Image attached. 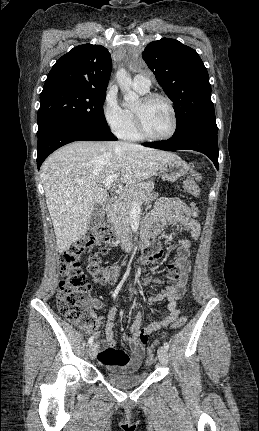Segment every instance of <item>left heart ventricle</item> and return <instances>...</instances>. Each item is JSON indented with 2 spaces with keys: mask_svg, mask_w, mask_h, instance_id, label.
Segmentation results:
<instances>
[{
  "mask_svg": "<svg viewBox=\"0 0 259 431\" xmlns=\"http://www.w3.org/2000/svg\"><path fill=\"white\" fill-rule=\"evenodd\" d=\"M135 110L142 112L147 131L154 136L167 134L172 126V116L167 103L161 99H155L147 105L140 100Z\"/></svg>",
  "mask_w": 259,
  "mask_h": 431,
  "instance_id": "obj_1",
  "label": "left heart ventricle"
}]
</instances>
